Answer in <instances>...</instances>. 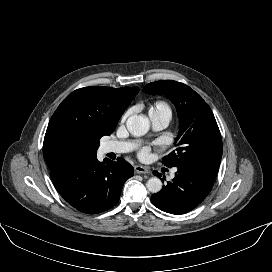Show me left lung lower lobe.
Masks as SVG:
<instances>
[{"label": "left lung lower lobe", "mask_w": 272, "mask_h": 272, "mask_svg": "<svg viewBox=\"0 0 272 272\" xmlns=\"http://www.w3.org/2000/svg\"><path fill=\"white\" fill-rule=\"evenodd\" d=\"M153 174L161 177L157 171ZM214 180L215 178L206 174L186 167H177L175 178L167 182L160 192L153 194L151 201L164 212L185 214L204 201L213 187Z\"/></svg>", "instance_id": "1"}]
</instances>
